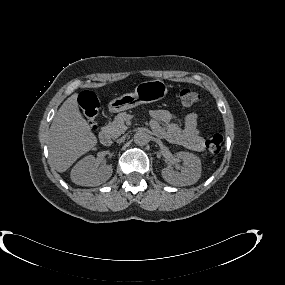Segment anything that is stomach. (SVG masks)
I'll return each instance as SVG.
<instances>
[{
    "instance_id": "stomach-1",
    "label": "stomach",
    "mask_w": 285,
    "mask_h": 285,
    "mask_svg": "<svg viewBox=\"0 0 285 285\" xmlns=\"http://www.w3.org/2000/svg\"><path fill=\"white\" fill-rule=\"evenodd\" d=\"M168 93V86L162 80L144 81L139 83L134 93H126L108 103L110 112H122L141 104L162 100Z\"/></svg>"
}]
</instances>
